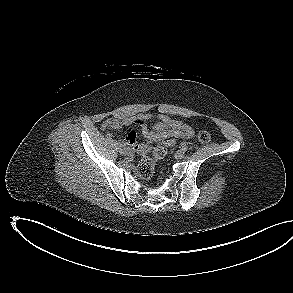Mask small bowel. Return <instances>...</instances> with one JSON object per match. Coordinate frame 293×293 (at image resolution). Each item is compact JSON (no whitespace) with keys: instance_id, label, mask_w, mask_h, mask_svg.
Returning a JSON list of instances; mask_svg holds the SVG:
<instances>
[{"instance_id":"1","label":"small bowel","mask_w":293,"mask_h":293,"mask_svg":"<svg viewBox=\"0 0 293 293\" xmlns=\"http://www.w3.org/2000/svg\"><path fill=\"white\" fill-rule=\"evenodd\" d=\"M156 119L157 122L150 127L148 122ZM137 124L141 127L145 141L139 144L136 133L130 132L125 143L135 150L145 149L154 142H162L166 139L176 141L177 139H188L195 135L193 128L181 121L173 120L167 115H154L151 113L139 114L135 117L109 118L103 121V129H117L123 126Z\"/></svg>"}]
</instances>
